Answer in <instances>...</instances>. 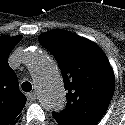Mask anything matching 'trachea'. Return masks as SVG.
<instances>
[{"label":"trachea","instance_id":"3493384b","mask_svg":"<svg viewBox=\"0 0 125 125\" xmlns=\"http://www.w3.org/2000/svg\"><path fill=\"white\" fill-rule=\"evenodd\" d=\"M21 87H22V90L25 92H30L32 90V84L28 81L23 82Z\"/></svg>","mask_w":125,"mask_h":125}]
</instances>
